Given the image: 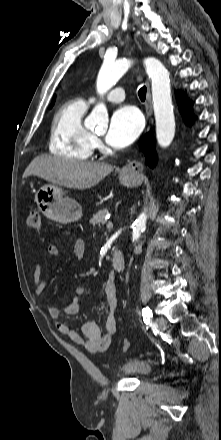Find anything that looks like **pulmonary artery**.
<instances>
[{
    "instance_id": "e3ab8cb5",
    "label": "pulmonary artery",
    "mask_w": 221,
    "mask_h": 440,
    "mask_svg": "<svg viewBox=\"0 0 221 440\" xmlns=\"http://www.w3.org/2000/svg\"><path fill=\"white\" fill-rule=\"evenodd\" d=\"M126 95H125V90L121 87L115 88L113 89L107 96L106 99L110 102H122L124 101ZM89 102L90 103H95L96 102V98L95 97H91L89 98Z\"/></svg>"
}]
</instances>
